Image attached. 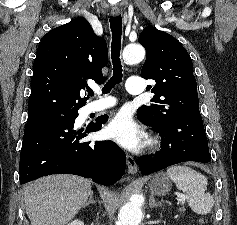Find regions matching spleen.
Here are the masks:
<instances>
[{
  "label": "spleen",
  "instance_id": "obj_1",
  "mask_svg": "<svg viewBox=\"0 0 237 225\" xmlns=\"http://www.w3.org/2000/svg\"><path fill=\"white\" fill-rule=\"evenodd\" d=\"M166 173L175 182L176 187L185 193L193 212L200 215L211 212L214 199L209 193L205 192L207 179L203 174L184 165L170 167Z\"/></svg>",
  "mask_w": 237,
  "mask_h": 225
}]
</instances>
